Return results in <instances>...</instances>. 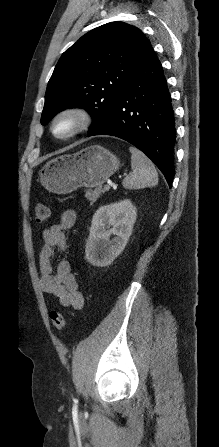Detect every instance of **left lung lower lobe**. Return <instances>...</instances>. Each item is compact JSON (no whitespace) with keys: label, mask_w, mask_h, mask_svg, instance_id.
Here are the masks:
<instances>
[{"label":"left lung lower lobe","mask_w":219,"mask_h":447,"mask_svg":"<svg viewBox=\"0 0 219 447\" xmlns=\"http://www.w3.org/2000/svg\"><path fill=\"white\" fill-rule=\"evenodd\" d=\"M111 135L144 152L171 187L175 121L162 66L151 44L104 120L88 136Z\"/></svg>","instance_id":"0a47b994"}]
</instances>
